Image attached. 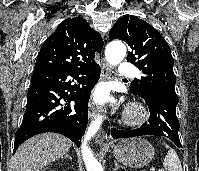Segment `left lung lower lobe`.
I'll use <instances>...</instances> for the list:
<instances>
[{"instance_id": "0a47b994", "label": "left lung lower lobe", "mask_w": 199, "mask_h": 171, "mask_svg": "<svg viewBox=\"0 0 199 171\" xmlns=\"http://www.w3.org/2000/svg\"><path fill=\"white\" fill-rule=\"evenodd\" d=\"M138 95L146 101L150 110L148 123L145 122L140 128L134 130L112 128L108 135L111 134L114 139L143 135L164 136L174 142L177 147H182L178 135L180 124L176 116L178 101L161 95Z\"/></svg>"}]
</instances>
